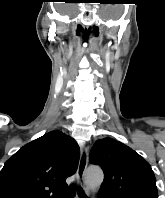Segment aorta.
<instances>
[{
    "label": "aorta",
    "mask_w": 165,
    "mask_h": 198,
    "mask_svg": "<svg viewBox=\"0 0 165 198\" xmlns=\"http://www.w3.org/2000/svg\"><path fill=\"white\" fill-rule=\"evenodd\" d=\"M104 180V174L100 167L90 166L85 174V184L91 190L98 189Z\"/></svg>",
    "instance_id": "obj_1"
}]
</instances>
